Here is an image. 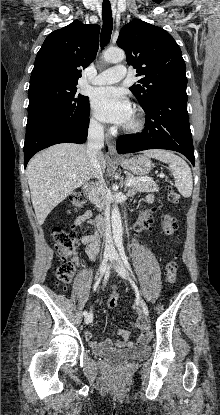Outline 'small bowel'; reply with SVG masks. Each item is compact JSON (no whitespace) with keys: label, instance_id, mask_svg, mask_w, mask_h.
<instances>
[{"label":"small bowel","instance_id":"small-bowel-1","mask_svg":"<svg viewBox=\"0 0 220 415\" xmlns=\"http://www.w3.org/2000/svg\"><path fill=\"white\" fill-rule=\"evenodd\" d=\"M152 197L148 196L146 201L151 202ZM92 212L90 210L85 211L84 213L78 215L73 221V227L75 229H80L84 225H94L92 221ZM150 226L149 217L140 218L136 224L137 230L147 229ZM81 243L85 247V253L87 254L88 258L91 261H94L96 256L99 254L101 250V240L98 235L97 231H94L91 234H86L81 237ZM138 326L141 330H147L145 322L143 319L138 320ZM144 333V332H143ZM142 333V334H143ZM117 334L120 336V340L117 341L116 347L119 349L122 348H134L137 346H142L146 344L149 339H143L142 334L141 336L134 341L129 340V333L124 329H118ZM85 339L88 341L89 345L92 348H110L112 346L111 340H105L101 343H98L92 339V332L90 330H86L84 332Z\"/></svg>","mask_w":220,"mask_h":415}]
</instances>
